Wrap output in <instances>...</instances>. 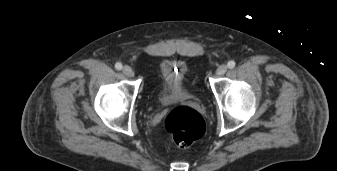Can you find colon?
Listing matches in <instances>:
<instances>
[{
	"label": "colon",
	"instance_id": "5ec220e1",
	"mask_svg": "<svg viewBox=\"0 0 337 171\" xmlns=\"http://www.w3.org/2000/svg\"><path fill=\"white\" fill-rule=\"evenodd\" d=\"M164 129L178 146L186 147L204 135L205 121L197 111L178 107L165 118Z\"/></svg>",
	"mask_w": 337,
	"mask_h": 171
}]
</instances>
